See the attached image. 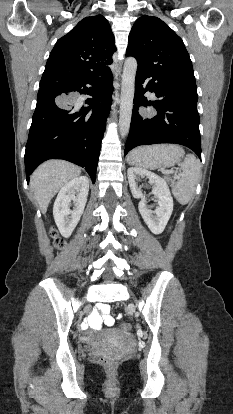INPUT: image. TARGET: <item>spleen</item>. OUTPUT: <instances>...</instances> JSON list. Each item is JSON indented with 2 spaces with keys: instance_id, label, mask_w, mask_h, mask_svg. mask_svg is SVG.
Wrapping results in <instances>:
<instances>
[{
  "instance_id": "3e777b00",
  "label": "spleen",
  "mask_w": 233,
  "mask_h": 414,
  "mask_svg": "<svg viewBox=\"0 0 233 414\" xmlns=\"http://www.w3.org/2000/svg\"><path fill=\"white\" fill-rule=\"evenodd\" d=\"M135 150L129 153L127 161L130 164L140 166L129 160V157H132L136 153ZM180 169L182 170L180 179L177 176L173 177V179L169 177L166 179L171 182L174 197L180 204L183 205L188 203L193 198L196 186L201 176V164L194 155L188 154L184 161L180 164Z\"/></svg>"
}]
</instances>
